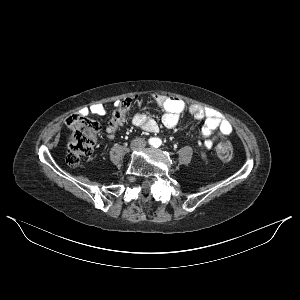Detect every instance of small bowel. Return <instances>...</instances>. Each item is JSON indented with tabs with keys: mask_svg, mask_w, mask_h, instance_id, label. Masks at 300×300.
<instances>
[{
	"mask_svg": "<svg viewBox=\"0 0 300 300\" xmlns=\"http://www.w3.org/2000/svg\"><path fill=\"white\" fill-rule=\"evenodd\" d=\"M155 103L164 110L162 122L167 128H174L179 123L180 114L188 112L195 120L203 121L202 134L205 137L204 145L211 149L219 137L230 135L233 132L232 124L223 118L216 110L197 104H187L183 100L167 95H158ZM84 113L105 116L107 108L103 104L88 107ZM131 122L138 128L154 133L159 130L158 123L145 113L136 112Z\"/></svg>",
	"mask_w": 300,
	"mask_h": 300,
	"instance_id": "1",
	"label": "small bowel"
}]
</instances>
